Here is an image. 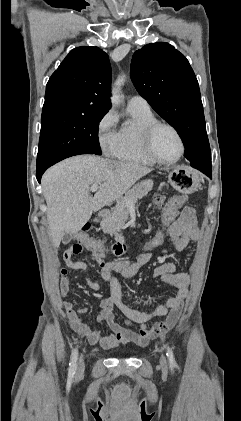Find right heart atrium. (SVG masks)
Returning a JSON list of instances; mask_svg holds the SVG:
<instances>
[{"instance_id": "1", "label": "right heart atrium", "mask_w": 241, "mask_h": 421, "mask_svg": "<svg viewBox=\"0 0 241 421\" xmlns=\"http://www.w3.org/2000/svg\"><path fill=\"white\" fill-rule=\"evenodd\" d=\"M116 116L112 111L106 112L97 124V140L101 150L111 155L116 141Z\"/></svg>"}]
</instances>
